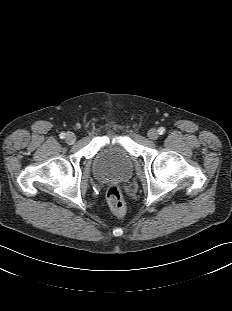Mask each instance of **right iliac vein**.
Wrapping results in <instances>:
<instances>
[{
    "label": "right iliac vein",
    "mask_w": 232,
    "mask_h": 311,
    "mask_svg": "<svg viewBox=\"0 0 232 311\" xmlns=\"http://www.w3.org/2000/svg\"><path fill=\"white\" fill-rule=\"evenodd\" d=\"M75 141H76V136L73 133L70 132L66 135V142L68 144H73Z\"/></svg>",
    "instance_id": "1"
}]
</instances>
